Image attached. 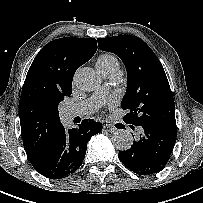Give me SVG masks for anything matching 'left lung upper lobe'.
<instances>
[{"label": "left lung upper lobe", "instance_id": "obj_1", "mask_svg": "<svg viewBox=\"0 0 203 203\" xmlns=\"http://www.w3.org/2000/svg\"><path fill=\"white\" fill-rule=\"evenodd\" d=\"M98 46L119 56L126 66L127 90L121 103L126 110L124 122L135 126L153 123L176 128L169 82L151 48L132 35L98 38Z\"/></svg>", "mask_w": 203, "mask_h": 203}]
</instances>
